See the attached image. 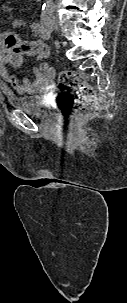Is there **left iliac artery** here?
Masks as SVG:
<instances>
[{"mask_svg":"<svg viewBox=\"0 0 127 303\" xmlns=\"http://www.w3.org/2000/svg\"><path fill=\"white\" fill-rule=\"evenodd\" d=\"M54 4L51 2H47L45 4H43L42 7V15H47V14H51L54 11Z\"/></svg>","mask_w":127,"mask_h":303,"instance_id":"obj_1","label":"left iliac artery"}]
</instances>
